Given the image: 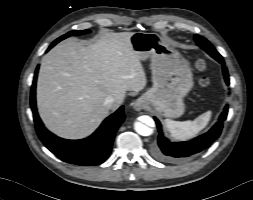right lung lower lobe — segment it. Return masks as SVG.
<instances>
[{
	"instance_id": "obj_1",
	"label": "right lung lower lobe",
	"mask_w": 253,
	"mask_h": 200,
	"mask_svg": "<svg viewBox=\"0 0 253 200\" xmlns=\"http://www.w3.org/2000/svg\"><path fill=\"white\" fill-rule=\"evenodd\" d=\"M55 41L50 45L52 48ZM38 67L31 87L30 104L33 111L36 131L44 145L58 158L67 163L91 166L102 163L110 154L113 139L119 126L124 121L123 106L107 117L101 126L89 137L82 140H66L49 132L38 116L35 99Z\"/></svg>"
}]
</instances>
